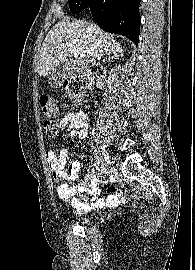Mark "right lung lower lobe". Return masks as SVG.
<instances>
[{
    "label": "right lung lower lobe",
    "mask_w": 195,
    "mask_h": 270,
    "mask_svg": "<svg viewBox=\"0 0 195 270\" xmlns=\"http://www.w3.org/2000/svg\"><path fill=\"white\" fill-rule=\"evenodd\" d=\"M86 3L103 30L124 35L138 44L140 0H88Z\"/></svg>",
    "instance_id": "obj_1"
}]
</instances>
